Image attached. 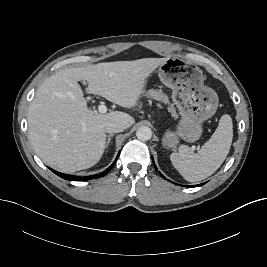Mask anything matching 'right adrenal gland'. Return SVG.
Wrapping results in <instances>:
<instances>
[{"instance_id":"2a0ac1e0","label":"right adrenal gland","mask_w":267,"mask_h":267,"mask_svg":"<svg viewBox=\"0 0 267 267\" xmlns=\"http://www.w3.org/2000/svg\"><path fill=\"white\" fill-rule=\"evenodd\" d=\"M113 136H114V134H110V135H108V139H107V143H106L105 148H108V147H109V144H110L111 139H112Z\"/></svg>"}]
</instances>
